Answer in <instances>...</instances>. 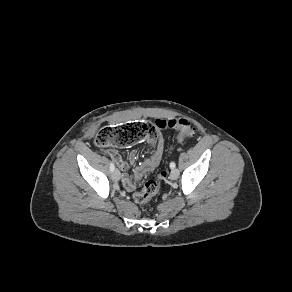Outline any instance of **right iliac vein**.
<instances>
[{"instance_id":"1","label":"right iliac vein","mask_w":292,"mask_h":292,"mask_svg":"<svg viewBox=\"0 0 292 292\" xmlns=\"http://www.w3.org/2000/svg\"><path fill=\"white\" fill-rule=\"evenodd\" d=\"M112 179L114 181H118L120 179V172L117 169H115L113 171V173H112Z\"/></svg>"}]
</instances>
